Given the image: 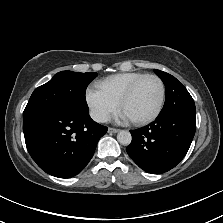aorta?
Here are the masks:
<instances>
[{"mask_svg": "<svg viewBox=\"0 0 223 223\" xmlns=\"http://www.w3.org/2000/svg\"><path fill=\"white\" fill-rule=\"evenodd\" d=\"M117 140L122 145H129L131 143L132 137L129 131L121 130L117 134Z\"/></svg>", "mask_w": 223, "mask_h": 223, "instance_id": "762f6f07", "label": "aorta"}]
</instances>
